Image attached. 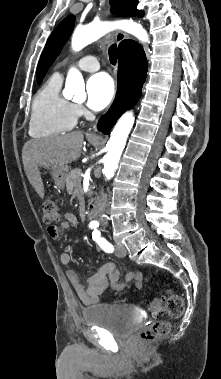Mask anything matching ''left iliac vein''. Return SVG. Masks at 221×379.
<instances>
[{
    "instance_id": "left-iliac-vein-1",
    "label": "left iliac vein",
    "mask_w": 221,
    "mask_h": 379,
    "mask_svg": "<svg viewBox=\"0 0 221 379\" xmlns=\"http://www.w3.org/2000/svg\"><path fill=\"white\" fill-rule=\"evenodd\" d=\"M115 254L118 257H124L126 255V248L124 247V245L122 243H120V242L116 243Z\"/></svg>"
}]
</instances>
